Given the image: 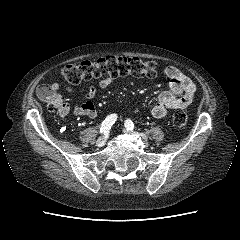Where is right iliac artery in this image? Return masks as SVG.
<instances>
[{"label": "right iliac artery", "mask_w": 240, "mask_h": 240, "mask_svg": "<svg viewBox=\"0 0 240 240\" xmlns=\"http://www.w3.org/2000/svg\"><path fill=\"white\" fill-rule=\"evenodd\" d=\"M116 120H117L116 114H111L107 116L106 119L101 124L100 133H104V134L108 133Z\"/></svg>", "instance_id": "obj_1"}]
</instances>
